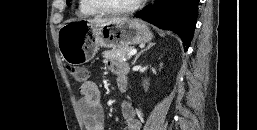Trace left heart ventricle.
Segmentation results:
<instances>
[{
	"label": "left heart ventricle",
	"mask_w": 257,
	"mask_h": 130,
	"mask_svg": "<svg viewBox=\"0 0 257 130\" xmlns=\"http://www.w3.org/2000/svg\"><path fill=\"white\" fill-rule=\"evenodd\" d=\"M104 6L111 8H124L134 4L137 0H97Z\"/></svg>",
	"instance_id": "left-heart-ventricle-1"
}]
</instances>
